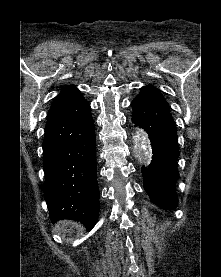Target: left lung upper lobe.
<instances>
[{
  "mask_svg": "<svg viewBox=\"0 0 221 277\" xmlns=\"http://www.w3.org/2000/svg\"><path fill=\"white\" fill-rule=\"evenodd\" d=\"M147 87H149L151 90H153V91L158 95V97H159L162 101L166 102V100L163 98V96H162V94H161V92H160L159 89H157V88L154 87V86H147ZM166 103H167V102H166ZM167 104H168V103H167Z\"/></svg>",
  "mask_w": 221,
  "mask_h": 277,
  "instance_id": "left-lung-upper-lobe-1",
  "label": "left lung upper lobe"
}]
</instances>
